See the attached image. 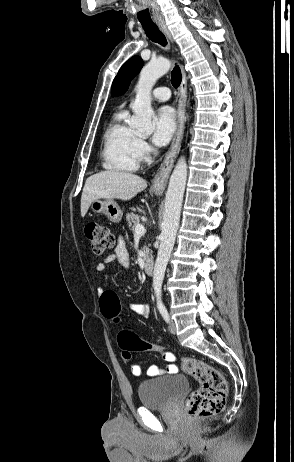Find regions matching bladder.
Returning <instances> with one entry per match:
<instances>
[{"instance_id": "bladder-1", "label": "bladder", "mask_w": 294, "mask_h": 462, "mask_svg": "<svg viewBox=\"0 0 294 462\" xmlns=\"http://www.w3.org/2000/svg\"><path fill=\"white\" fill-rule=\"evenodd\" d=\"M188 387L184 376L173 375L140 382L137 394L143 407L161 409L177 401Z\"/></svg>"}]
</instances>
